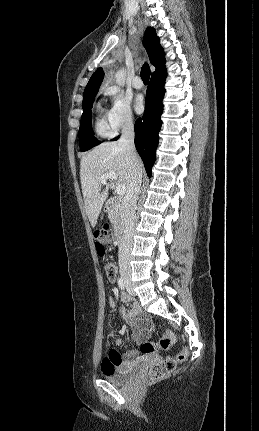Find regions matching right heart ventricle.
I'll return each mask as SVG.
<instances>
[{"label":"right heart ventricle","mask_w":259,"mask_h":431,"mask_svg":"<svg viewBox=\"0 0 259 431\" xmlns=\"http://www.w3.org/2000/svg\"><path fill=\"white\" fill-rule=\"evenodd\" d=\"M97 110L98 111L101 110L99 105L97 106ZM95 130H96L97 134L102 136V137H108V136L113 135L111 129L109 128V126L107 124V121L100 114L97 115L96 120H95Z\"/></svg>","instance_id":"obj_1"}]
</instances>
